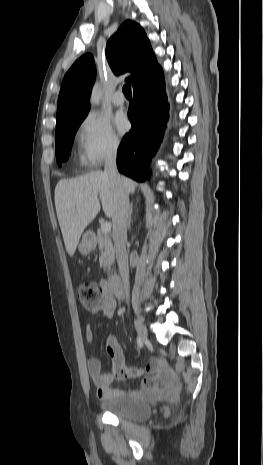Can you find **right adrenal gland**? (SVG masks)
<instances>
[{
	"label": "right adrenal gland",
	"mask_w": 263,
	"mask_h": 465,
	"mask_svg": "<svg viewBox=\"0 0 263 465\" xmlns=\"http://www.w3.org/2000/svg\"><path fill=\"white\" fill-rule=\"evenodd\" d=\"M132 213H133V204H131L130 207H129L128 228H130V226H131V222H132Z\"/></svg>",
	"instance_id": "obj_1"
}]
</instances>
